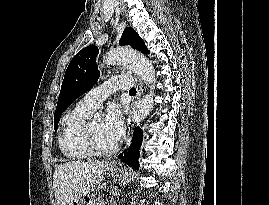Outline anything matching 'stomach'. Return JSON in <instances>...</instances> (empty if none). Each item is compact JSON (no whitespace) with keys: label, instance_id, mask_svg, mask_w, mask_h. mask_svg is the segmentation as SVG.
Segmentation results:
<instances>
[{"label":"stomach","instance_id":"stomach-1","mask_svg":"<svg viewBox=\"0 0 269 205\" xmlns=\"http://www.w3.org/2000/svg\"><path fill=\"white\" fill-rule=\"evenodd\" d=\"M105 173L108 176H115L117 169L114 164H107L104 168ZM72 205H95V200L92 195L90 194H82L79 195Z\"/></svg>","mask_w":269,"mask_h":205}]
</instances>
